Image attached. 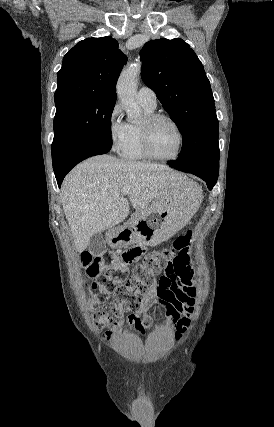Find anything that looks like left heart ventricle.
Returning a JSON list of instances; mask_svg holds the SVG:
<instances>
[{"instance_id": "b2bd125f", "label": "left heart ventricle", "mask_w": 274, "mask_h": 427, "mask_svg": "<svg viewBox=\"0 0 274 427\" xmlns=\"http://www.w3.org/2000/svg\"><path fill=\"white\" fill-rule=\"evenodd\" d=\"M150 145L157 155L171 157L178 150V134L170 123L159 121L151 129Z\"/></svg>"}]
</instances>
